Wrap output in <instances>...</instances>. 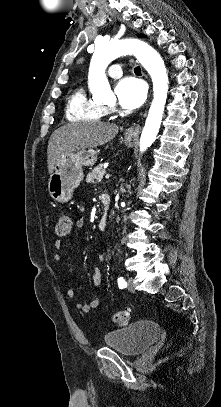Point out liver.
<instances>
[{
  "instance_id": "6515ba94",
  "label": "liver",
  "mask_w": 221,
  "mask_h": 407,
  "mask_svg": "<svg viewBox=\"0 0 221 407\" xmlns=\"http://www.w3.org/2000/svg\"><path fill=\"white\" fill-rule=\"evenodd\" d=\"M118 131L116 124L103 122H77L58 128L52 133L47 147L49 174L62 156L102 146L110 142Z\"/></svg>"
}]
</instances>
